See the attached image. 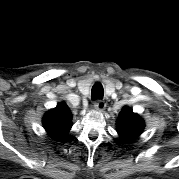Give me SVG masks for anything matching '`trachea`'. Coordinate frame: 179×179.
Here are the masks:
<instances>
[{
    "mask_svg": "<svg viewBox=\"0 0 179 179\" xmlns=\"http://www.w3.org/2000/svg\"><path fill=\"white\" fill-rule=\"evenodd\" d=\"M104 89L101 83L96 82L91 89V99H103Z\"/></svg>",
    "mask_w": 179,
    "mask_h": 179,
    "instance_id": "trachea-1",
    "label": "trachea"
}]
</instances>
